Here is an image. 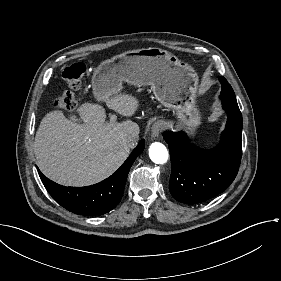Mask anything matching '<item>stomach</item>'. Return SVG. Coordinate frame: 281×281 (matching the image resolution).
Wrapping results in <instances>:
<instances>
[{"label":"stomach","instance_id":"1","mask_svg":"<svg viewBox=\"0 0 281 281\" xmlns=\"http://www.w3.org/2000/svg\"><path fill=\"white\" fill-rule=\"evenodd\" d=\"M123 83L151 86L155 99L175 112V128L194 139L203 123L199 76L187 62L159 47L131 49L103 60L93 71L92 95L102 103L121 95Z\"/></svg>","mask_w":281,"mask_h":281}]
</instances>
